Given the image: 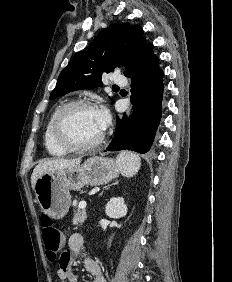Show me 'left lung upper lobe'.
<instances>
[{
	"label": "left lung upper lobe",
	"instance_id": "1",
	"mask_svg": "<svg viewBox=\"0 0 232 282\" xmlns=\"http://www.w3.org/2000/svg\"><path fill=\"white\" fill-rule=\"evenodd\" d=\"M147 45L143 30L138 25L127 22L104 29L63 69L50 99L101 86L102 74L112 72L120 63H126L128 70L124 74L127 75L139 62Z\"/></svg>",
	"mask_w": 232,
	"mask_h": 282
}]
</instances>
